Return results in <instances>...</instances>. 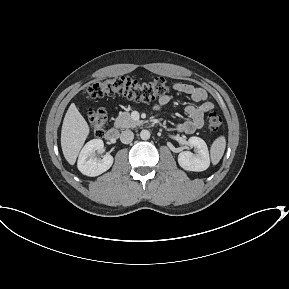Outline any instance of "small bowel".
Listing matches in <instances>:
<instances>
[{
  "label": "small bowel",
  "mask_w": 289,
  "mask_h": 289,
  "mask_svg": "<svg viewBox=\"0 0 289 289\" xmlns=\"http://www.w3.org/2000/svg\"><path fill=\"white\" fill-rule=\"evenodd\" d=\"M173 89L176 92L189 95L194 103L198 105H189L185 108V113L188 116L186 121L179 123L176 127L178 132L191 134L202 128L204 116L210 112L214 106L207 101V93L203 88L194 86L188 83L177 82L173 84ZM172 101V96L164 95L159 98L155 105L157 110L167 106Z\"/></svg>",
  "instance_id": "small-bowel-1"
}]
</instances>
